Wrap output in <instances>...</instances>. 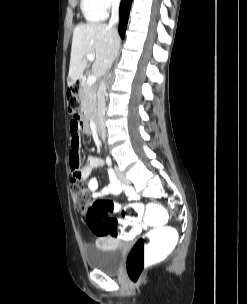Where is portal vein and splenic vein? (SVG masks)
Here are the masks:
<instances>
[{
  "label": "portal vein and splenic vein",
  "mask_w": 247,
  "mask_h": 304,
  "mask_svg": "<svg viewBox=\"0 0 247 304\" xmlns=\"http://www.w3.org/2000/svg\"><path fill=\"white\" fill-rule=\"evenodd\" d=\"M87 59L92 62L95 59V55L93 53H87ZM95 82H96V76L95 75H89L87 77V84L89 86H92Z\"/></svg>",
  "instance_id": "18ae733b"
}]
</instances>
